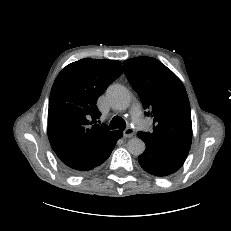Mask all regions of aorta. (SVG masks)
Returning <instances> with one entry per match:
<instances>
[{
    "mask_svg": "<svg viewBox=\"0 0 231 231\" xmlns=\"http://www.w3.org/2000/svg\"><path fill=\"white\" fill-rule=\"evenodd\" d=\"M107 99L111 106L117 110H125L130 105L129 91L121 85H112L107 90ZM145 143L138 137L131 138L127 142V150L134 156H139L145 151Z\"/></svg>",
    "mask_w": 231,
    "mask_h": 231,
    "instance_id": "1",
    "label": "aorta"
}]
</instances>
